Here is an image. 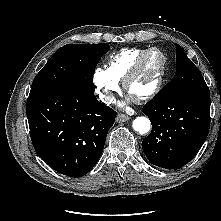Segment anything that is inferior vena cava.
Instances as JSON below:
<instances>
[{"label": "inferior vena cava", "mask_w": 221, "mask_h": 221, "mask_svg": "<svg viewBox=\"0 0 221 221\" xmlns=\"http://www.w3.org/2000/svg\"><path fill=\"white\" fill-rule=\"evenodd\" d=\"M100 99L105 103V104H111L114 101V96L111 93H106V94H101Z\"/></svg>", "instance_id": "obj_1"}]
</instances>
